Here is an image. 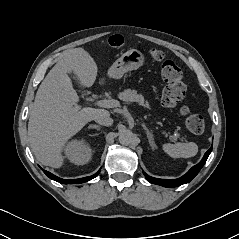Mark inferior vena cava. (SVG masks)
<instances>
[{"mask_svg":"<svg viewBox=\"0 0 239 239\" xmlns=\"http://www.w3.org/2000/svg\"><path fill=\"white\" fill-rule=\"evenodd\" d=\"M95 122L103 126H111L113 124V119L106 110H101L95 117Z\"/></svg>","mask_w":239,"mask_h":239,"instance_id":"obj_1","label":"inferior vena cava"}]
</instances>
